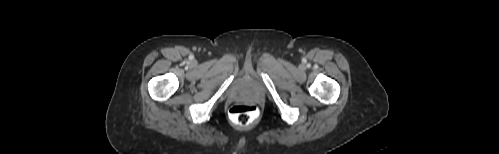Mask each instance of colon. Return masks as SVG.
Segmentation results:
<instances>
[{
	"label": "colon",
	"instance_id": "1",
	"mask_svg": "<svg viewBox=\"0 0 499 154\" xmlns=\"http://www.w3.org/2000/svg\"><path fill=\"white\" fill-rule=\"evenodd\" d=\"M257 116V107L247 101H239L229 110V117L231 121L238 126L249 125L257 118Z\"/></svg>",
	"mask_w": 499,
	"mask_h": 154
}]
</instances>
